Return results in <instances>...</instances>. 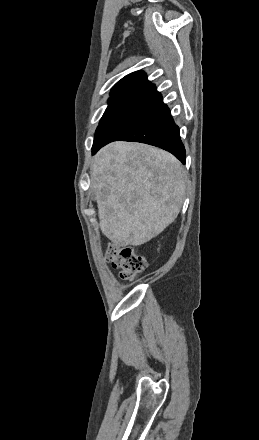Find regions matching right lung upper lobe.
Masks as SVG:
<instances>
[{
    "instance_id": "1",
    "label": "right lung upper lobe",
    "mask_w": 259,
    "mask_h": 440,
    "mask_svg": "<svg viewBox=\"0 0 259 440\" xmlns=\"http://www.w3.org/2000/svg\"><path fill=\"white\" fill-rule=\"evenodd\" d=\"M154 87L155 85L147 80V76L144 72L136 71L118 81L113 86L110 95L132 93L147 94Z\"/></svg>"
}]
</instances>
